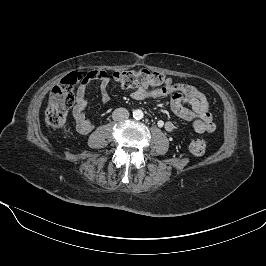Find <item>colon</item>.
<instances>
[{
    "instance_id": "1",
    "label": "colon",
    "mask_w": 266,
    "mask_h": 266,
    "mask_svg": "<svg viewBox=\"0 0 266 266\" xmlns=\"http://www.w3.org/2000/svg\"><path fill=\"white\" fill-rule=\"evenodd\" d=\"M113 78L124 88H161L171 85L170 79L146 68L118 71L113 74ZM85 80H88V77L82 73H70L52 89L45 111V119L49 125L53 127L69 125L67 116L68 110L74 103V87ZM188 149L194 155H202L206 150V143L201 138H192L188 142Z\"/></svg>"
}]
</instances>
